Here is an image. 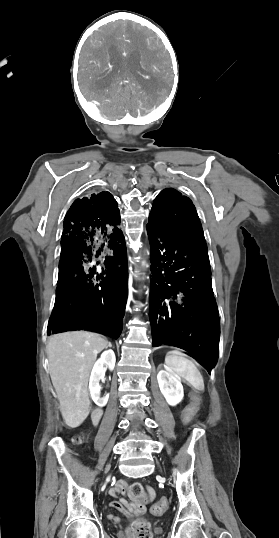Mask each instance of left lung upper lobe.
Returning <instances> with one entry per match:
<instances>
[{"label":"left lung upper lobe","instance_id":"1","mask_svg":"<svg viewBox=\"0 0 279 538\" xmlns=\"http://www.w3.org/2000/svg\"><path fill=\"white\" fill-rule=\"evenodd\" d=\"M147 228L177 239L205 241L192 201L172 188L164 189L155 198Z\"/></svg>","mask_w":279,"mask_h":538}]
</instances>
